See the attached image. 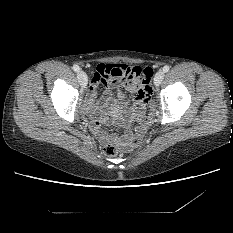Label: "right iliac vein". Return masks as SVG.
<instances>
[{"label": "right iliac vein", "instance_id": "1", "mask_svg": "<svg viewBox=\"0 0 233 233\" xmlns=\"http://www.w3.org/2000/svg\"><path fill=\"white\" fill-rule=\"evenodd\" d=\"M77 78H78L82 88H85L87 86V81H88L86 73L84 71H79L77 74Z\"/></svg>", "mask_w": 233, "mask_h": 233}]
</instances>
